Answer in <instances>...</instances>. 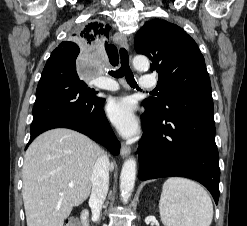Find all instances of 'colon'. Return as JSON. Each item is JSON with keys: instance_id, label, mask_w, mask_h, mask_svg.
Listing matches in <instances>:
<instances>
[{"instance_id": "1", "label": "colon", "mask_w": 247, "mask_h": 226, "mask_svg": "<svg viewBox=\"0 0 247 226\" xmlns=\"http://www.w3.org/2000/svg\"><path fill=\"white\" fill-rule=\"evenodd\" d=\"M65 226H81V221L77 217H69L65 222Z\"/></svg>"}]
</instances>
